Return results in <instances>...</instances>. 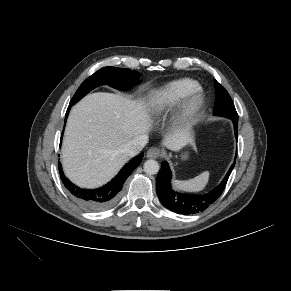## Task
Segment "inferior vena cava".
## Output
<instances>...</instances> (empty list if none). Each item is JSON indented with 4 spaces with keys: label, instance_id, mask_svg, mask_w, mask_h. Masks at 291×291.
I'll return each instance as SVG.
<instances>
[{
    "label": "inferior vena cava",
    "instance_id": "obj_1",
    "mask_svg": "<svg viewBox=\"0 0 291 291\" xmlns=\"http://www.w3.org/2000/svg\"><path fill=\"white\" fill-rule=\"evenodd\" d=\"M148 142V136L147 135H140L138 137H135L128 143H126L123 146V152L128 156V157H133L137 155L143 147L147 144Z\"/></svg>",
    "mask_w": 291,
    "mask_h": 291
}]
</instances>
